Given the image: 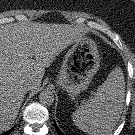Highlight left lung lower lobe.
Wrapping results in <instances>:
<instances>
[{
  "instance_id": "left-lung-lower-lobe-1",
  "label": "left lung lower lobe",
  "mask_w": 135,
  "mask_h": 135,
  "mask_svg": "<svg viewBox=\"0 0 135 135\" xmlns=\"http://www.w3.org/2000/svg\"><path fill=\"white\" fill-rule=\"evenodd\" d=\"M55 127H56V129H57L59 135H64V134L59 130V128L56 126V124H55Z\"/></svg>"
}]
</instances>
